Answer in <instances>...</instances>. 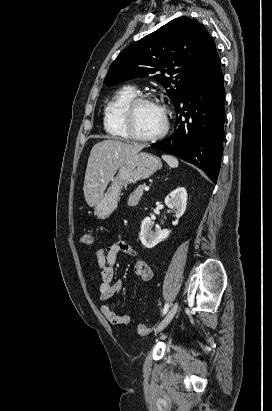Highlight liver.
Listing matches in <instances>:
<instances>
[{
    "mask_svg": "<svg viewBox=\"0 0 272 411\" xmlns=\"http://www.w3.org/2000/svg\"><path fill=\"white\" fill-rule=\"evenodd\" d=\"M144 147L143 144H128L119 140H103L92 147L83 186L84 197L90 207L100 202L119 167Z\"/></svg>",
    "mask_w": 272,
    "mask_h": 411,
    "instance_id": "1",
    "label": "liver"
}]
</instances>
